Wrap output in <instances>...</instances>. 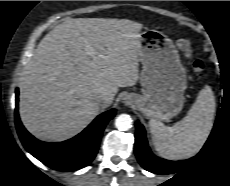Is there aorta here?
<instances>
[{
    "instance_id": "762f6f07",
    "label": "aorta",
    "mask_w": 230,
    "mask_h": 186,
    "mask_svg": "<svg viewBox=\"0 0 230 186\" xmlns=\"http://www.w3.org/2000/svg\"><path fill=\"white\" fill-rule=\"evenodd\" d=\"M115 126L120 131H126L132 127V119L127 114H121L116 118Z\"/></svg>"
}]
</instances>
